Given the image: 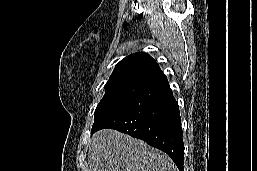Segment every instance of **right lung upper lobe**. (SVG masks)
Returning a JSON list of instances; mask_svg holds the SVG:
<instances>
[{"label":"right lung upper lobe","mask_w":257,"mask_h":171,"mask_svg":"<svg viewBox=\"0 0 257 171\" xmlns=\"http://www.w3.org/2000/svg\"><path fill=\"white\" fill-rule=\"evenodd\" d=\"M167 80L156 61L144 52H137L121 60L112 72L105 87L147 89Z\"/></svg>","instance_id":"obj_1"}]
</instances>
